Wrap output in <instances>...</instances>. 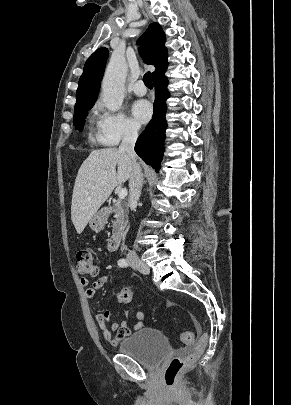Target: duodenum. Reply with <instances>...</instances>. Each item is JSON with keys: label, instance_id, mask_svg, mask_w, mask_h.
Segmentation results:
<instances>
[{"label": "duodenum", "instance_id": "duodenum-1", "mask_svg": "<svg viewBox=\"0 0 291 405\" xmlns=\"http://www.w3.org/2000/svg\"><path fill=\"white\" fill-rule=\"evenodd\" d=\"M121 240H122V232L118 231V232L114 233L108 241V244H107L108 250L116 251L121 244Z\"/></svg>", "mask_w": 291, "mask_h": 405}]
</instances>
